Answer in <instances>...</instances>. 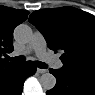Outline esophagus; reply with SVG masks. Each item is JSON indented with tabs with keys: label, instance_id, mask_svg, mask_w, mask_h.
Listing matches in <instances>:
<instances>
[{
	"label": "esophagus",
	"instance_id": "34e87169",
	"mask_svg": "<svg viewBox=\"0 0 95 95\" xmlns=\"http://www.w3.org/2000/svg\"><path fill=\"white\" fill-rule=\"evenodd\" d=\"M37 72L40 73V74H43V73H46L47 70L46 69L37 68Z\"/></svg>",
	"mask_w": 95,
	"mask_h": 95
}]
</instances>
